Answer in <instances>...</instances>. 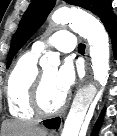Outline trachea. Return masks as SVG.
<instances>
[{
  "mask_svg": "<svg viewBox=\"0 0 117 136\" xmlns=\"http://www.w3.org/2000/svg\"><path fill=\"white\" fill-rule=\"evenodd\" d=\"M78 51H79V52H84V51H85V44L80 43V44L78 45Z\"/></svg>",
  "mask_w": 117,
  "mask_h": 136,
  "instance_id": "1",
  "label": "trachea"
}]
</instances>
